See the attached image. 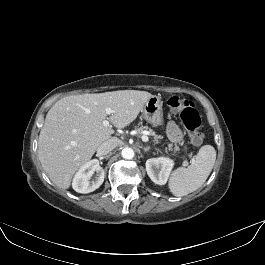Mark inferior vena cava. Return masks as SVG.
<instances>
[{
  "mask_svg": "<svg viewBox=\"0 0 265 265\" xmlns=\"http://www.w3.org/2000/svg\"><path fill=\"white\" fill-rule=\"evenodd\" d=\"M119 145V140L117 138H110L109 140L103 142L97 149V154L99 156L106 155L110 153L115 147Z\"/></svg>",
  "mask_w": 265,
  "mask_h": 265,
  "instance_id": "602c4592",
  "label": "inferior vena cava"
}]
</instances>
